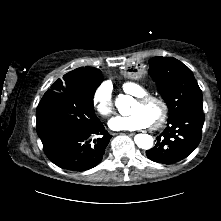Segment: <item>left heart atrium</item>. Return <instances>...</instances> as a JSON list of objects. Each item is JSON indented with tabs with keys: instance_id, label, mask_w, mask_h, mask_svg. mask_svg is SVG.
<instances>
[{
	"instance_id": "obj_1",
	"label": "left heart atrium",
	"mask_w": 221,
	"mask_h": 221,
	"mask_svg": "<svg viewBox=\"0 0 221 221\" xmlns=\"http://www.w3.org/2000/svg\"><path fill=\"white\" fill-rule=\"evenodd\" d=\"M150 126L148 119L140 112L131 113L128 116H118L109 121L112 130H139Z\"/></svg>"
}]
</instances>
